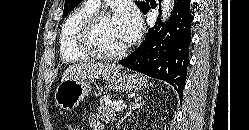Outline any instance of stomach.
<instances>
[{
    "instance_id": "0dacf381",
    "label": "stomach",
    "mask_w": 249,
    "mask_h": 130,
    "mask_svg": "<svg viewBox=\"0 0 249 130\" xmlns=\"http://www.w3.org/2000/svg\"><path fill=\"white\" fill-rule=\"evenodd\" d=\"M90 79H68L61 81L57 86L54 99L56 105L64 110L71 111L89 95L91 90ZM108 88L116 92L139 91L145 88L146 81L137 73H117L106 79Z\"/></svg>"
}]
</instances>
